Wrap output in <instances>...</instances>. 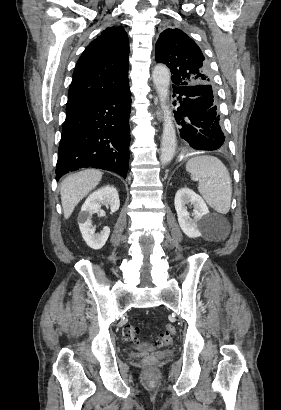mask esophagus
Wrapping results in <instances>:
<instances>
[{"label": "esophagus", "instance_id": "esophagus-1", "mask_svg": "<svg viewBox=\"0 0 281 410\" xmlns=\"http://www.w3.org/2000/svg\"><path fill=\"white\" fill-rule=\"evenodd\" d=\"M156 116H157V119H158L159 121L162 120V114H161V111H160L159 109L156 111Z\"/></svg>", "mask_w": 281, "mask_h": 410}]
</instances>
